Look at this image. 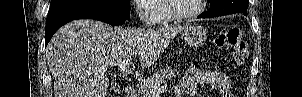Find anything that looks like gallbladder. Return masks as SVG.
Wrapping results in <instances>:
<instances>
[{
    "mask_svg": "<svg viewBox=\"0 0 302 97\" xmlns=\"http://www.w3.org/2000/svg\"><path fill=\"white\" fill-rule=\"evenodd\" d=\"M117 90H118L117 88H115V87L113 88V91H117Z\"/></svg>",
    "mask_w": 302,
    "mask_h": 97,
    "instance_id": "1",
    "label": "gallbladder"
}]
</instances>
